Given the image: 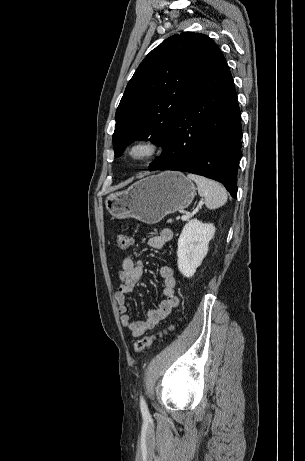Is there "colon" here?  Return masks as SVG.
<instances>
[{
    "mask_svg": "<svg viewBox=\"0 0 305 461\" xmlns=\"http://www.w3.org/2000/svg\"><path fill=\"white\" fill-rule=\"evenodd\" d=\"M114 239H115L116 246L120 250H126L127 248H129V246L131 245V242H132L131 237L127 233H124V232H116V233H114ZM172 329H173V326L170 325L166 329H163L162 331H160V332H158V333H156L154 335L145 336V337L137 340L134 343L135 351L136 352L143 351L147 347L151 346V344L154 342V340H156L158 337H162L163 335L167 334Z\"/></svg>",
    "mask_w": 305,
    "mask_h": 461,
    "instance_id": "obj_1",
    "label": "colon"
}]
</instances>
